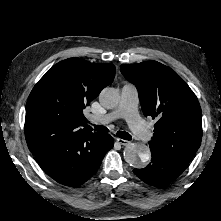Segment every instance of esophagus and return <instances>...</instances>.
<instances>
[{"label": "esophagus", "mask_w": 221, "mask_h": 221, "mask_svg": "<svg viewBox=\"0 0 221 221\" xmlns=\"http://www.w3.org/2000/svg\"><path fill=\"white\" fill-rule=\"evenodd\" d=\"M116 141H117V143H119L120 145H123V146H126L129 144V141L124 140V139H120V138H117Z\"/></svg>", "instance_id": "1"}]
</instances>
